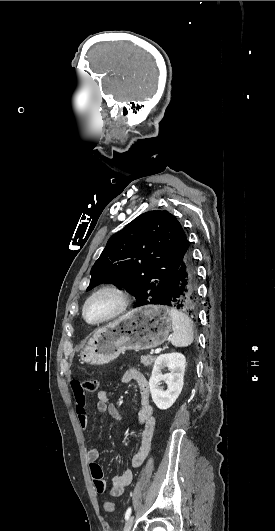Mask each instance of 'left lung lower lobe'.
I'll use <instances>...</instances> for the list:
<instances>
[{
  "label": "left lung lower lobe",
  "mask_w": 275,
  "mask_h": 531,
  "mask_svg": "<svg viewBox=\"0 0 275 531\" xmlns=\"http://www.w3.org/2000/svg\"><path fill=\"white\" fill-rule=\"evenodd\" d=\"M195 317L198 307L197 275L190 248L186 251L167 296L159 303Z\"/></svg>",
  "instance_id": "1"
}]
</instances>
